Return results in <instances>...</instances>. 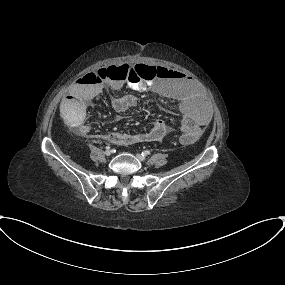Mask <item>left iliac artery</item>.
<instances>
[{"label": "left iliac artery", "instance_id": "obj_1", "mask_svg": "<svg viewBox=\"0 0 285 285\" xmlns=\"http://www.w3.org/2000/svg\"><path fill=\"white\" fill-rule=\"evenodd\" d=\"M141 155H142L143 157H146V156L150 155V151H148V150L143 151V152L141 153Z\"/></svg>", "mask_w": 285, "mask_h": 285}]
</instances>
